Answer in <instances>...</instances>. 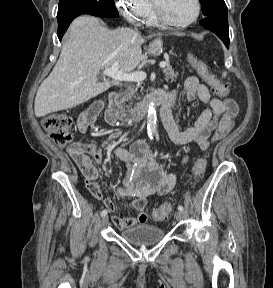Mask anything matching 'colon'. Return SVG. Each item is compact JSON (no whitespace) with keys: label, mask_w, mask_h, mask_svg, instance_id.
I'll return each mask as SVG.
<instances>
[{"label":"colon","mask_w":273,"mask_h":288,"mask_svg":"<svg viewBox=\"0 0 273 288\" xmlns=\"http://www.w3.org/2000/svg\"><path fill=\"white\" fill-rule=\"evenodd\" d=\"M188 61L194 66L201 78L211 87L212 91L222 97L229 94V88L221 83L219 79L212 74L204 63L199 61L195 56L188 55ZM72 118L63 113L50 114L43 118L42 126L53 143L59 147H66L72 142ZM208 158L203 156L198 158L192 168V182L196 183L201 180L207 168ZM172 213L170 203H164L154 209L152 216L156 221H164Z\"/></svg>","instance_id":"obj_1"}]
</instances>
